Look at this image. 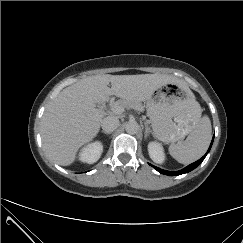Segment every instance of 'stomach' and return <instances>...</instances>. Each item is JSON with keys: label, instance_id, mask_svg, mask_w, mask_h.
<instances>
[{"label": "stomach", "instance_id": "stomach-1", "mask_svg": "<svg viewBox=\"0 0 243 243\" xmlns=\"http://www.w3.org/2000/svg\"><path fill=\"white\" fill-rule=\"evenodd\" d=\"M197 103L185 87L166 84L156 90L146 105L154 137L165 143L183 139L197 123Z\"/></svg>", "mask_w": 243, "mask_h": 243}]
</instances>
